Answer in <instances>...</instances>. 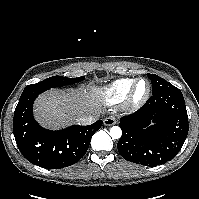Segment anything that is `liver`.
Masks as SVG:
<instances>
[{
	"instance_id": "1",
	"label": "liver",
	"mask_w": 199,
	"mask_h": 199,
	"mask_svg": "<svg viewBox=\"0 0 199 199\" xmlns=\"http://www.w3.org/2000/svg\"><path fill=\"white\" fill-rule=\"evenodd\" d=\"M93 113L100 114V108L93 96L83 88L68 92L50 90L40 95L34 105L36 120L50 129L64 128Z\"/></svg>"
}]
</instances>
